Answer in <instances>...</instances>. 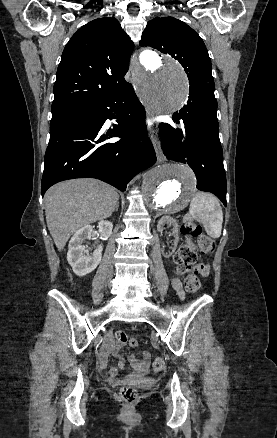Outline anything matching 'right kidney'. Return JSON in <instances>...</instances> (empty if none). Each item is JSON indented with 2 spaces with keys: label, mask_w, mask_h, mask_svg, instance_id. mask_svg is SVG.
I'll list each match as a JSON object with an SVG mask.
<instances>
[{
  "label": "right kidney",
  "mask_w": 277,
  "mask_h": 438,
  "mask_svg": "<svg viewBox=\"0 0 277 438\" xmlns=\"http://www.w3.org/2000/svg\"><path fill=\"white\" fill-rule=\"evenodd\" d=\"M97 228H99L103 238H109L112 234L113 224L107 222V220H102V222H98ZM92 232V226H83L75 232L69 242L67 260L76 276L90 274L102 260L103 246L96 248L92 254H89V250H86V246H83L85 240H90Z\"/></svg>",
  "instance_id": "ca27d5eb"
}]
</instances>
